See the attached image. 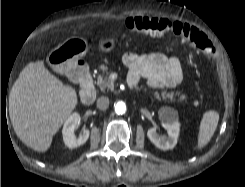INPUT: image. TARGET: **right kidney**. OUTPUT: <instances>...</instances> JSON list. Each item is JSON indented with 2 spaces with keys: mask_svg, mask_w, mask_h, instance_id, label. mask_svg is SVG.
Listing matches in <instances>:
<instances>
[{
  "mask_svg": "<svg viewBox=\"0 0 245 187\" xmlns=\"http://www.w3.org/2000/svg\"><path fill=\"white\" fill-rule=\"evenodd\" d=\"M79 122L80 115L75 112L72 115H70L64 123L62 130L63 141L65 145L70 149L77 148L83 145L89 138L90 132L88 129H84L78 138L75 136L74 131Z\"/></svg>",
  "mask_w": 245,
  "mask_h": 187,
  "instance_id": "obj_1",
  "label": "right kidney"
}]
</instances>
